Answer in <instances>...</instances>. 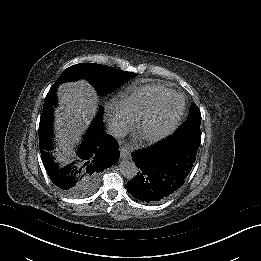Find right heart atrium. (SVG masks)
Returning <instances> with one entry per match:
<instances>
[{
  "label": "right heart atrium",
  "instance_id": "d8ad5b80",
  "mask_svg": "<svg viewBox=\"0 0 261 261\" xmlns=\"http://www.w3.org/2000/svg\"><path fill=\"white\" fill-rule=\"evenodd\" d=\"M107 115L110 127L116 135H122L129 129L130 122L125 116L124 111L121 109V107L119 109L113 103L110 104L107 108Z\"/></svg>",
  "mask_w": 261,
  "mask_h": 261
}]
</instances>
